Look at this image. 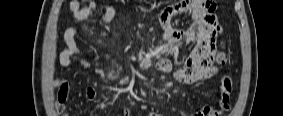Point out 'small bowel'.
I'll return each instance as SVG.
<instances>
[{
  "label": "small bowel",
  "mask_w": 283,
  "mask_h": 116,
  "mask_svg": "<svg viewBox=\"0 0 283 116\" xmlns=\"http://www.w3.org/2000/svg\"><path fill=\"white\" fill-rule=\"evenodd\" d=\"M192 7L191 22L186 28H174L171 25V18ZM214 1L210 0H181L174 5L165 8L162 11V24L164 27L165 42H195V47L185 59L180 67H175L168 58H161L157 61L156 67L159 71L171 74L181 83L193 84L208 80L218 72V67L214 65L215 41L217 36L222 32L215 15ZM69 11L74 19L84 21L92 17H97L103 23L110 22L116 15V9L113 6L98 14L95 2L88 6L82 7L78 1L69 3ZM77 29L69 27L63 34L65 48L59 53V64L63 67H69L73 64L74 57L83 56L78 42L76 41ZM88 67V61L83 58V68ZM87 97L90 100L96 98V90L89 87L86 90ZM231 83L226 76L221 78L219 105L230 102ZM182 116H219V114L209 106H201L195 112L189 114L181 110ZM124 115L128 116V109ZM148 116H157L154 112H148ZM221 115V114H220Z\"/></svg>",
  "instance_id": "1"
}]
</instances>
